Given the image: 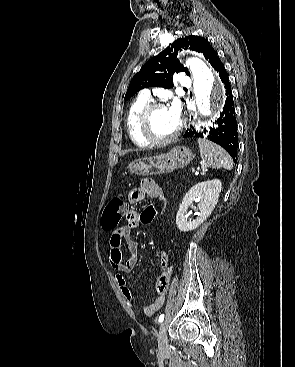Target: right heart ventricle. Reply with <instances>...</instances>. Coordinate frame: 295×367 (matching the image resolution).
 <instances>
[{"label":"right heart ventricle","instance_id":"right-heart-ventricle-1","mask_svg":"<svg viewBox=\"0 0 295 367\" xmlns=\"http://www.w3.org/2000/svg\"><path fill=\"white\" fill-rule=\"evenodd\" d=\"M148 103H149L148 99H144L141 97L137 98L130 105L126 116V127L129 137L136 146L141 148H146L150 146V144L141 137L138 129V121L140 114Z\"/></svg>","mask_w":295,"mask_h":367}]
</instances>
